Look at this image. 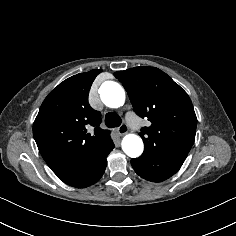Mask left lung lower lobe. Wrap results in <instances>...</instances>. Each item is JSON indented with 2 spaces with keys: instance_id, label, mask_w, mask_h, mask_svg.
Instances as JSON below:
<instances>
[{
  "instance_id": "0a47b994",
  "label": "left lung lower lobe",
  "mask_w": 236,
  "mask_h": 236,
  "mask_svg": "<svg viewBox=\"0 0 236 236\" xmlns=\"http://www.w3.org/2000/svg\"><path fill=\"white\" fill-rule=\"evenodd\" d=\"M183 162L164 156L142 154L139 158L132 159L131 165L140 177L151 182H162L173 176Z\"/></svg>"
}]
</instances>
